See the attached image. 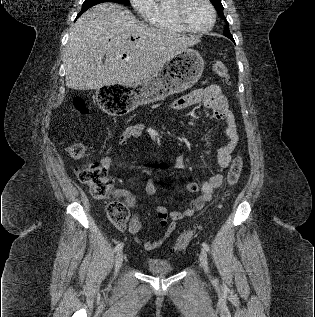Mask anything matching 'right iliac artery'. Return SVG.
I'll list each match as a JSON object with an SVG mask.
<instances>
[{
	"mask_svg": "<svg viewBox=\"0 0 315 317\" xmlns=\"http://www.w3.org/2000/svg\"><path fill=\"white\" fill-rule=\"evenodd\" d=\"M122 248H123V243L118 244V245L115 247V252H116V251H121Z\"/></svg>",
	"mask_w": 315,
	"mask_h": 317,
	"instance_id": "right-iliac-artery-1",
	"label": "right iliac artery"
}]
</instances>
